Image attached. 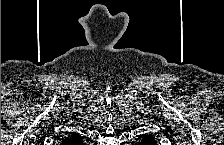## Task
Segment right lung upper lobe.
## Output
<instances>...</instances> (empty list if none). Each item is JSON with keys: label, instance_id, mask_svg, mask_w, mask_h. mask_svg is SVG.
Listing matches in <instances>:
<instances>
[{"label": "right lung upper lobe", "instance_id": "1", "mask_svg": "<svg viewBox=\"0 0 224 145\" xmlns=\"http://www.w3.org/2000/svg\"><path fill=\"white\" fill-rule=\"evenodd\" d=\"M78 139H80L78 135L76 133H72V135L62 140L61 145H74L73 143H75Z\"/></svg>", "mask_w": 224, "mask_h": 145}]
</instances>
